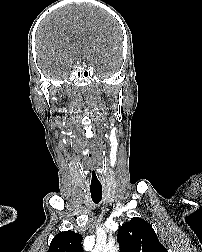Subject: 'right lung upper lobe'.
Segmentation results:
<instances>
[{
	"label": "right lung upper lobe",
	"instance_id": "cb5924a9",
	"mask_svg": "<svg viewBox=\"0 0 202 252\" xmlns=\"http://www.w3.org/2000/svg\"><path fill=\"white\" fill-rule=\"evenodd\" d=\"M82 236L73 231L58 233L52 240L48 252H83Z\"/></svg>",
	"mask_w": 202,
	"mask_h": 252
}]
</instances>
